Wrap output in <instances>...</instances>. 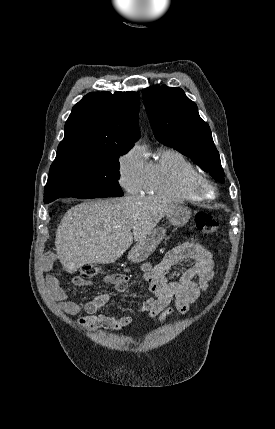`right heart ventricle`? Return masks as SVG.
<instances>
[{
  "mask_svg": "<svg viewBox=\"0 0 275 429\" xmlns=\"http://www.w3.org/2000/svg\"><path fill=\"white\" fill-rule=\"evenodd\" d=\"M201 174L197 166L180 151L165 147L146 163L143 191L149 195L196 202L193 179Z\"/></svg>",
  "mask_w": 275,
  "mask_h": 429,
  "instance_id": "e07e8e85",
  "label": "right heart ventricle"
}]
</instances>
